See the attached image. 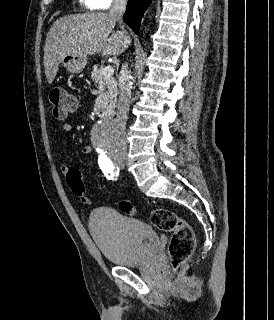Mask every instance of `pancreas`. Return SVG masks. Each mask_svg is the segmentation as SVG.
Instances as JSON below:
<instances>
[{
  "mask_svg": "<svg viewBox=\"0 0 274 320\" xmlns=\"http://www.w3.org/2000/svg\"><path fill=\"white\" fill-rule=\"evenodd\" d=\"M94 70L92 72V80L100 94V102H96L97 108H100L102 112H109L113 110L116 104L117 96V82L115 78H105L102 76L101 72L104 68H98V66H93Z\"/></svg>",
  "mask_w": 274,
  "mask_h": 320,
  "instance_id": "1",
  "label": "pancreas"
}]
</instances>
